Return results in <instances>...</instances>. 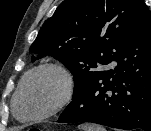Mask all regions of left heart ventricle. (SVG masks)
<instances>
[{"label":"left heart ventricle","mask_w":151,"mask_h":131,"mask_svg":"<svg viewBox=\"0 0 151 131\" xmlns=\"http://www.w3.org/2000/svg\"><path fill=\"white\" fill-rule=\"evenodd\" d=\"M62 81L54 73H40L29 80L18 102L22 117L37 115L55 105L62 94Z\"/></svg>","instance_id":"obj_1"}]
</instances>
